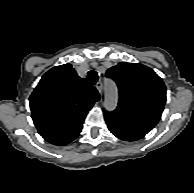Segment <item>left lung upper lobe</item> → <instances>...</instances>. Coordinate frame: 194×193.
Returning <instances> with one entry per match:
<instances>
[{
	"instance_id": "left-lung-upper-lobe-1",
	"label": "left lung upper lobe",
	"mask_w": 194,
	"mask_h": 193,
	"mask_svg": "<svg viewBox=\"0 0 194 193\" xmlns=\"http://www.w3.org/2000/svg\"><path fill=\"white\" fill-rule=\"evenodd\" d=\"M119 89L118 107L112 113L153 128L159 121L166 102L162 79L140 63L122 62L108 69Z\"/></svg>"
}]
</instances>
